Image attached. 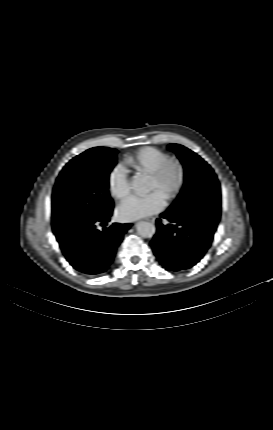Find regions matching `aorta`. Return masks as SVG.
I'll use <instances>...</instances> for the list:
<instances>
[{"label":"aorta","instance_id":"1","mask_svg":"<svg viewBox=\"0 0 273 430\" xmlns=\"http://www.w3.org/2000/svg\"><path fill=\"white\" fill-rule=\"evenodd\" d=\"M131 186L137 193L143 194L150 191L151 184L148 178L136 175L132 178ZM136 228L140 236L147 238H151L156 230L152 223L146 221L138 222Z\"/></svg>","mask_w":273,"mask_h":430}]
</instances>
